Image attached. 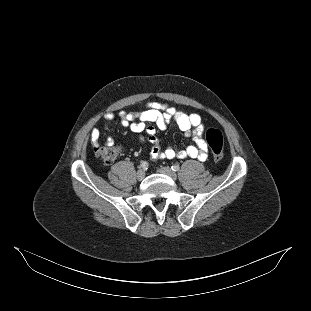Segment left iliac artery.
Wrapping results in <instances>:
<instances>
[{
  "label": "left iliac artery",
  "instance_id": "left-iliac-artery-1",
  "mask_svg": "<svg viewBox=\"0 0 311 311\" xmlns=\"http://www.w3.org/2000/svg\"><path fill=\"white\" fill-rule=\"evenodd\" d=\"M171 168L173 171H179V169H180L179 165H177V164L172 165Z\"/></svg>",
  "mask_w": 311,
  "mask_h": 311
}]
</instances>
